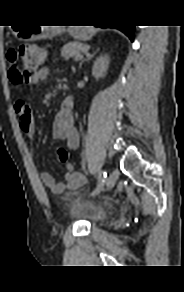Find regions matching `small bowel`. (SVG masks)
<instances>
[{
	"mask_svg": "<svg viewBox=\"0 0 184 292\" xmlns=\"http://www.w3.org/2000/svg\"><path fill=\"white\" fill-rule=\"evenodd\" d=\"M49 74L47 68L39 69L28 81L30 85H35L46 78ZM72 106V105H71ZM14 109L19 117L21 132L24 136L27 148L31 154L35 152V121L33 113L24 99L16 100ZM71 107L64 109L61 107L55 115L52 124V137L56 140H64L69 149H76L79 146V132L71 115ZM41 180L45 186L50 188L54 193H61L64 190H76L86 184L85 176L76 171L72 165L67 166L65 182H57L48 172L41 174Z\"/></svg>",
	"mask_w": 184,
	"mask_h": 292,
	"instance_id": "c3829d8e",
	"label": "small bowel"
}]
</instances>
